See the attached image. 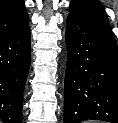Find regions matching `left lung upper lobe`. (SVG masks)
<instances>
[{
	"instance_id": "5c2ea615",
	"label": "left lung upper lobe",
	"mask_w": 118,
	"mask_h": 123,
	"mask_svg": "<svg viewBox=\"0 0 118 123\" xmlns=\"http://www.w3.org/2000/svg\"><path fill=\"white\" fill-rule=\"evenodd\" d=\"M70 14L85 18L108 20L105 9L98 0H72Z\"/></svg>"
}]
</instances>
